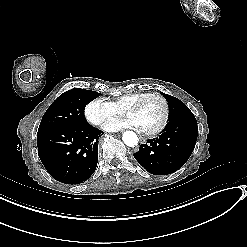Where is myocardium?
<instances>
[{"instance_id": "f54148a6", "label": "myocardium", "mask_w": 247, "mask_h": 247, "mask_svg": "<svg viewBox=\"0 0 247 247\" xmlns=\"http://www.w3.org/2000/svg\"><path fill=\"white\" fill-rule=\"evenodd\" d=\"M151 97H157V98H159L163 102V105H164V116H163V120H162L161 124L157 128H155L153 130H149V131L143 130V132L146 135H156V134L160 133L165 128V126H166V124H167V122L169 120V116H170V105H169V102L165 98L164 95H162L161 93H158V92L146 93L142 97L134 100V102L130 106L131 109L134 112L137 111L139 109L142 101L145 100V99H147V98H151Z\"/></svg>"}]
</instances>
